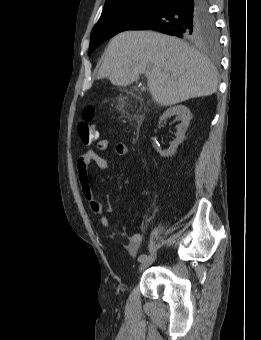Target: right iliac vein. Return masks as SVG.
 Returning a JSON list of instances; mask_svg holds the SVG:
<instances>
[{
	"label": "right iliac vein",
	"mask_w": 261,
	"mask_h": 340,
	"mask_svg": "<svg viewBox=\"0 0 261 340\" xmlns=\"http://www.w3.org/2000/svg\"><path fill=\"white\" fill-rule=\"evenodd\" d=\"M157 257H158V252L153 251L149 256H147V259L140 264L139 271H142L146 269L147 267H149L150 265H152L157 260Z\"/></svg>",
	"instance_id": "right-iliac-vein-1"
}]
</instances>
